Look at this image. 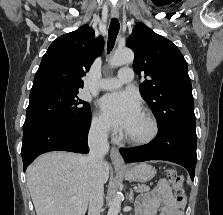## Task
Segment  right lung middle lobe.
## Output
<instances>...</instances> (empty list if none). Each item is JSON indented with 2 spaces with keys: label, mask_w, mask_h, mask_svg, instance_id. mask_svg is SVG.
Returning a JSON list of instances; mask_svg holds the SVG:
<instances>
[{
  "label": "right lung middle lobe",
  "mask_w": 223,
  "mask_h": 215,
  "mask_svg": "<svg viewBox=\"0 0 223 215\" xmlns=\"http://www.w3.org/2000/svg\"><path fill=\"white\" fill-rule=\"evenodd\" d=\"M77 91L46 90L30 93L23 129L45 124L66 123L87 127L90 105L77 97Z\"/></svg>",
  "instance_id": "dd1d6c3e"
}]
</instances>
